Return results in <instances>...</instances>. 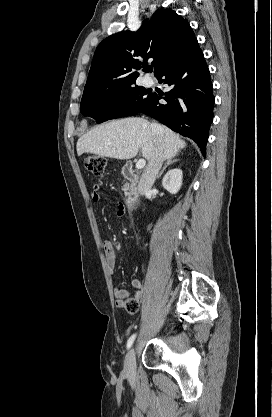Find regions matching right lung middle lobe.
I'll list each match as a JSON object with an SVG mask.
<instances>
[{
	"label": "right lung middle lobe",
	"instance_id": "dd1d6c3e",
	"mask_svg": "<svg viewBox=\"0 0 272 417\" xmlns=\"http://www.w3.org/2000/svg\"><path fill=\"white\" fill-rule=\"evenodd\" d=\"M151 96L145 88L135 85L118 91L83 94L80 111L102 123L137 114Z\"/></svg>",
	"mask_w": 272,
	"mask_h": 417
}]
</instances>
